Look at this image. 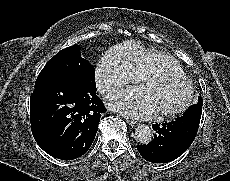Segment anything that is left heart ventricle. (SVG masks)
Wrapping results in <instances>:
<instances>
[{"label": "left heart ventricle", "instance_id": "left-heart-ventricle-1", "mask_svg": "<svg viewBox=\"0 0 230 181\" xmlns=\"http://www.w3.org/2000/svg\"><path fill=\"white\" fill-rule=\"evenodd\" d=\"M144 87L142 95L156 111L176 108L187 94L186 84L179 80L154 79Z\"/></svg>", "mask_w": 230, "mask_h": 181}]
</instances>
